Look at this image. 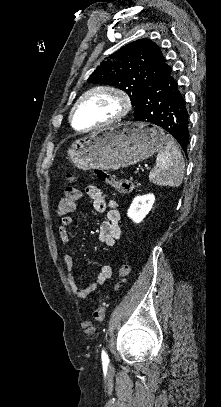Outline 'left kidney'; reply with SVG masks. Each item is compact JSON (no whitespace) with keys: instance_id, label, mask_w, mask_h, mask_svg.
<instances>
[{"instance_id":"5707ae66","label":"left kidney","mask_w":221,"mask_h":407,"mask_svg":"<svg viewBox=\"0 0 221 407\" xmlns=\"http://www.w3.org/2000/svg\"><path fill=\"white\" fill-rule=\"evenodd\" d=\"M155 202V196L153 194H146L143 196H136L128 211L127 216L135 223H140L145 216L150 212Z\"/></svg>"}]
</instances>
